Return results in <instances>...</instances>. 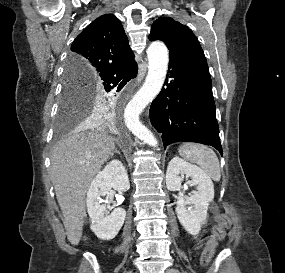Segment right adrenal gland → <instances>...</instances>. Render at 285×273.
<instances>
[{"instance_id":"1","label":"right adrenal gland","mask_w":285,"mask_h":273,"mask_svg":"<svg viewBox=\"0 0 285 273\" xmlns=\"http://www.w3.org/2000/svg\"><path fill=\"white\" fill-rule=\"evenodd\" d=\"M114 154H120V151H118L117 149H115L114 152L112 153V156H113Z\"/></svg>"}]
</instances>
